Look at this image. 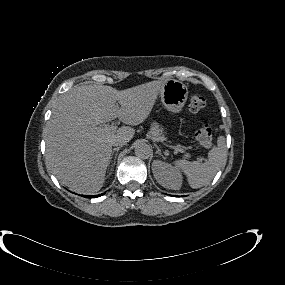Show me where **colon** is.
<instances>
[{"mask_svg": "<svg viewBox=\"0 0 285 285\" xmlns=\"http://www.w3.org/2000/svg\"><path fill=\"white\" fill-rule=\"evenodd\" d=\"M205 105L206 101L202 95L194 93L190 96L189 109L191 112L198 113L204 109ZM196 139L198 143L204 148H209L212 145L213 135L209 124L203 123L199 126L196 131Z\"/></svg>", "mask_w": 285, "mask_h": 285, "instance_id": "1", "label": "colon"}]
</instances>
